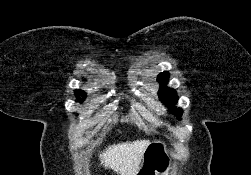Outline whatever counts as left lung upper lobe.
Returning <instances> with one entry per match:
<instances>
[{
	"label": "left lung upper lobe",
	"mask_w": 251,
	"mask_h": 175,
	"mask_svg": "<svg viewBox=\"0 0 251 175\" xmlns=\"http://www.w3.org/2000/svg\"><path fill=\"white\" fill-rule=\"evenodd\" d=\"M169 79V73L167 71L162 72L158 75L157 81L160 83L161 88L159 90V98L160 100L166 104V106L170 107L173 114L176 115L178 119L181 118L182 110L174 108V105L178 101V96L176 94V91L172 88H166L164 87L167 84V81Z\"/></svg>",
	"instance_id": "5c2ea615"
}]
</instances>
